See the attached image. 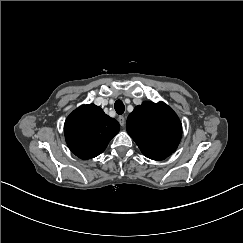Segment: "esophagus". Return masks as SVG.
Segmentation results:
<instances>
[{
  "label": "esophagus",
  "mask_w": 243,
  "mask_h": 243,
  "mask_svg": "<svg viewBox=\"0 0 243 243\" xmlns=\"http://www.w3.org/2000/svg\"><path fill=\"white\" fill-rule=\"evenodd\" d=\"M118 121L122 127L125 125V118L122 115L118 117Z\"/></svg>",
  "instance_id": "obj_1"
}]
</instances>
